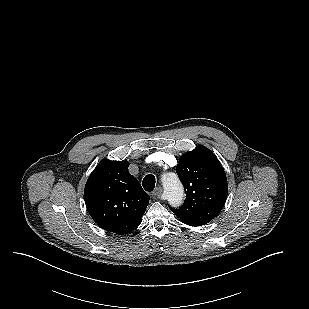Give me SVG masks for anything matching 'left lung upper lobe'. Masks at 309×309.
I'll use <instances>...</instances> for the list:
<instances>
[{"mask_svg": "<svg viewBox=\"0 0 309 309\" xmlns=\"http://www.w3.org/2000/svg\"><path fill=\"white\" fill-rule=\"evenodd\" d=\"M177 174L185 188L186 199L175 215L190 226L204 225L222 210L228 193L227 179L216 156L197 146L179 159Z\"/></svg>", "mask_w": 309, "mask_h": 309, "instance_id": "1", "label": "left lung upper lobe"}]
</instances>
